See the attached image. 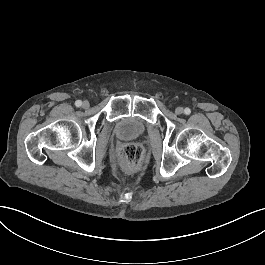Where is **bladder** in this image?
<instances>
[{"label":"bladder","instance_id":"obj_1","mask_svg":"<svg viewBox=\"0 0 265 265\" xmlns=\"http://www.w3.org/2000/svg\"><path fill=\"white\" fill-rule=\"evenodd\" d=\"M115 131L120 138L132 140L143 136L146 128L139 119L125 118L116 124Z\"/></svg>","mask_w":265,"mask_h":265}]
</instances>
